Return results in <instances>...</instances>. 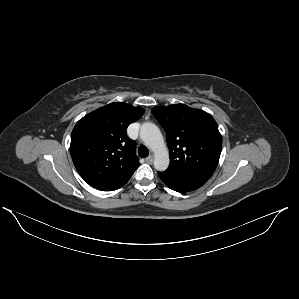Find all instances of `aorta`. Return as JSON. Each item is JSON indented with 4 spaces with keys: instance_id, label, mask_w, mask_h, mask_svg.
<instances>
[{
    "instance_id": "aorta-1",
    "label": "aorta",
    "mask_w": 299,
    "mask_h": 299,
    "mask_svg": "<svg viewBox=\"0 0 299 299\" xmlns=\"http://www.w3.org/2000/svg\"><path fill=\"white\" fill-rule=\"evenodd\" d=\"M142 141L153 151L154 168L165 171L169 166V154L159 128L153 123H144L140 129Z\"/></svg>"
}]
</instances>
